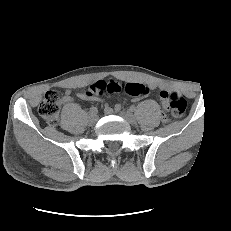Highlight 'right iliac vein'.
<instances>
[{"label": "right iliac vein", "instance_id": "right-iliac-vein-1", "mask_svg": "<svg viewBox=\"0 0 231 231\" xmlns=\"http://www.w3.org/2000/svg\"><path fill=\"white\" fill-rule=\"evenodd\" d=\"M98 120V117L96 115H89L88 122L90 125H94Z\"/></svg>", "mask_w": 231, "mask_h": 231}]
</instances>
